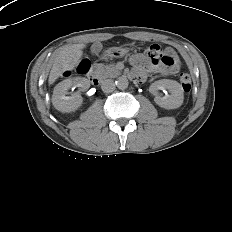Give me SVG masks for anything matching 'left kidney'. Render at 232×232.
<instances>
[{"mask_svg": "<svg viewBox=\"0 0 232 232\" xmlns=\"http://www.w3.org/2000/svg\"><path fill=\"white\" fill-rule=\"evenodd\" d=\"M159 90H168L171 95L161 97ZM149 92L155 96V103L165 109H176L183 104L184 91L182 86L175 80L162 79L155 81L149 87Z\"/></svg>", "mask_w": 232, "mask_h": 232, "instance_id": "obj_1", "label": "left kidney"}]
</instances>
